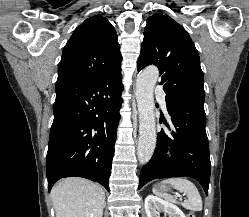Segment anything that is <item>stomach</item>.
<instances>
[{
	"label": "stomach",
	"instance_id": "1",
	"mask_svg": "<svg viewBox=\"0 0 249 217\" xmlns=\"http://www.w3.org/2000/svg\"><path fill=\"white\" fill-rule=\"evenodd\" d=\"M157 188H158V190L161 191V192H167V191L169 190V188H168L166 185H164V184H159V185L157 186Z\"/></svg>",
	"mask_w": 249,
	"mask_h": 217
}]
</instances>
